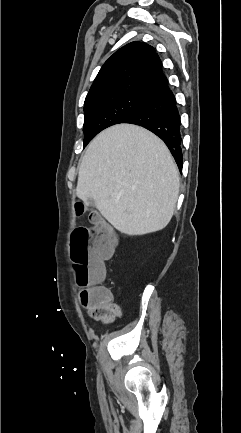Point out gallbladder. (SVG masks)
Wrapping results in <instances>:
<instances>
[{"label":"gallbladder","instance_id":"obj_1","mask_svg":"<svg viewBox=\"0 0 241 433\" xmlns=\"http://www.w3.org/2000/svg\"><path fill=\"white\" fill-rule=\"evenodd\" d=\"M87 205H94V200L92 198H88Z\"/></svg>","mask_w":241,"mask_h":433}]
</instances>
